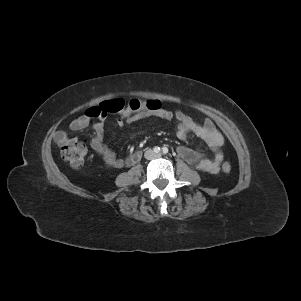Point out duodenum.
I'll use <instances>...</instances> for the list:
<instances>
[{"label":"duodenum","mask_w":301,"mask_h":301,"mask_svg":"<svg viewBox=\"0 0 301 301\" xmlns=\"http://www.w3.org/2000/svg\"><path fill=\"white\" fill-rule=\"evenodd\" d=\"M140 159V152H135L134 154H132L130 157H128L127 159V164L131 165L136 163L138 160Z\"/></svg>","instance_id":"obj_1"}]
</instances>
